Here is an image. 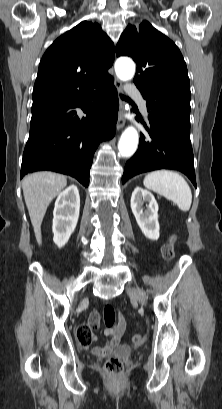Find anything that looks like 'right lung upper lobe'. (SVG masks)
Segmentation results:
<instances>
[{
  "mask_svg": "<svg viewBox=\"0 0 222 409\" xmlns=\"http://www.w3.org/2000/svg\"><path fill=\"white\" fill-rule=\"evenodd\" d=\"M114 44L97 23L82 21L44 53L34 85L32 109L76 100L111 78Z\"/></svg>",
  "mask_w": 222,
  "mask_h": 409,
  "instance_id": "cb5924a9",
  "label": "right lung upper lobe"
}]
</instances>
